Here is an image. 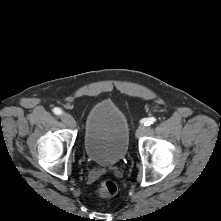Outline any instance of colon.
<instances>
[{
	"instance_id": "5ec220e1",
	"label": "colon",
	"mask_w": 221,
	"mask_h": 221,
	"mask_svg": "<svg viewBox=\"0 0 221 221\" xmlns=\"http://www.w3.org/2000/svg\"><path fill=\"white\" fill-rule=\"evenodd\" d=\"M118 191L117 184L112 180L102 181L97 187V194L101 197H112Z\"/></svg>"
}]
</instances>
